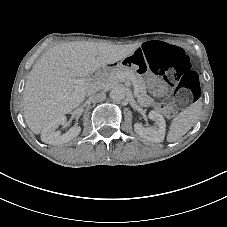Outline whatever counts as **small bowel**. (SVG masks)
<instances>
[{"mask_svg": "<svg viewBox=\"0 0 227 227\" xmlns=\"http://www.w3.org/2000/svg\"><path fill=\"white\" fill-rule=\"evenodd\" d=\"M134 55L138 56V59L140 60L142 67H146V69H147L148 65H147V60H146V56L144 54L143 48L139 47L135 51Z\"/></svg>", "mask_w": 227, "mask_h": 227, "instance_id": "small-bowel-1", "label": "small bowel"}]
</instances>
